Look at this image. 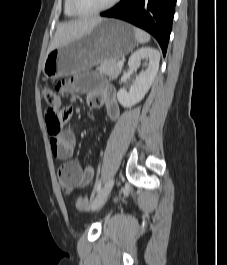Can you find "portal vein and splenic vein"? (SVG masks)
Here are the masks:
<instances>
[{
    "instance_id": "1",
    "label": "portal vein and splenic vein",
    "mask_w": 227,
    "mask_h": 265,
    "mask_svg": "<svg viewBox=\"0 0 227 265\" xmlns=\"http://www.w3.org/2000/svg\"><path fill=\"white\" fill-rule=\"evenodd\" d=\"M123 64H124V62H123V61H119V62H118V66H120V67H122V66H123Z\"/></svg>"
}]
</instances>
